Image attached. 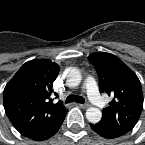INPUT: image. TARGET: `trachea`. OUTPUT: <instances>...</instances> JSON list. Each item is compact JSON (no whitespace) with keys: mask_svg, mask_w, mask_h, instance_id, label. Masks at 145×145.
Instances as JSON below:
<instances>
[{"mask_svg":"<svg viewBox=\"0 0 145 145\" xmlns=\"http://www.w3.org/2000/svg\"><path fill=\"white\" fill-rule=\"evenodd\" d=\"M71 102L84 103L85 100L81 96L69 95L66 99V103H71Z\"/></svg>","mask_w":145,"mask_h":145,"instance_id":"1","label":"trachea"}]
</instances>
